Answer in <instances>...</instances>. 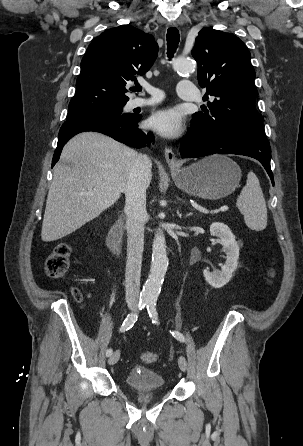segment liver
Segmentation results:
<instances>
[{
  "label": "liver",
  "instance_id": "obj_1",
  "mask_svg": "<svg viewBox=\"0 0 303 446\" xmlns=\"http://www.w3.org/2000/svg\"><path fill=\"white\" fill-rule=\"evenodd\" d=\"M137 156L134 149L99 133L70 139L61 154L64 164L54 168L42 240L61 239L111 207L124 191Z\"/></svg>",
  "mask_w": 303,
  "mask_h": 446
}]
</instances>
